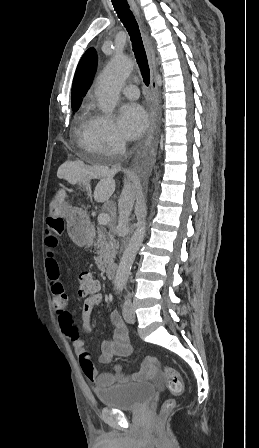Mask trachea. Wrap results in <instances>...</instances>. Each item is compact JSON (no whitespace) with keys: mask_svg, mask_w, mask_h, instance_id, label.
Wrapping results in <instances>:
<instances>
[{"mask_svg":"<svg viewBox=\"0 0 259 448\" xmlns=\"http://www.w3.org/2000/svg\"><path fill=\"white\" fill-rule=\"evenodd\" d=\"M111 1L114 6V9L118 13V17L121 19V22L124 24L126 30L129 33L133 51L141 71L143 82L145 83L146 86H148L150 84V68L148 65V60L144 49L138 23L136 22L133 13L129 9L127 0H111Z\"/></svg>","mask_w":259,"mask_h":448,"instance_id":"trachea-1","label":"trachea"}]
</instances>
